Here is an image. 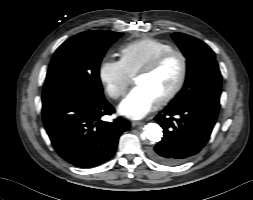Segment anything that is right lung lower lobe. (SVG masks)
<instances>
[{"mask_svg":"<svg viewBox=\"0 0 253 200\" xmlns=\"http://www.w3.org/2000/svg\"><path fill=\"white\" fill-rule=\"evenodd\" d=\"M115 110L104 98L70 95L42 97L43 122L57 153L77 167L90 168L109 160L120 135L130 128L122 118L101 120Z\"/></svg>","mask_w":253,"mask_h":200,"instance_id":"1","label":"right lung lower lobe"}]
</instances>
